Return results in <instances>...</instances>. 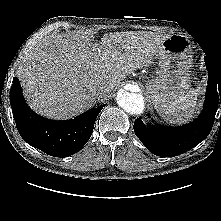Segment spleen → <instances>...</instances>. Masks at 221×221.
Segmentation results:
<instances>
[{
	"label": "spleen",
	"mask_w": 221,
	"mask_h": 221,
	"mask_svg": "<svg viewBox=\"0 0 221 221\" xmlns=\"http://www.w3.org/2000/svg\"><path fill=\"white\" fill-rule=\"evenodd\" d=\"M155 108L165 121L171 124H183L194 117L197 108V96L191 92L177 103Z\"/></svg>",
	"instance_id": "1"
}]
</instances>
